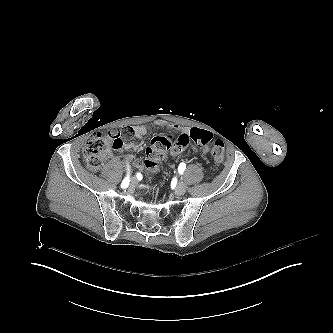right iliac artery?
<instances>
[{
	"label": "right iliac artery",
	"mask_w": 333,
	"mask_h": 333,
	"mask_svg": "<svg viewBox=\"0 0 333 333\" xmlns=\"http://www.w3.org/2000/svg\"><path fill=\"white\" fill-rule=\"evenodd\" d=\"M128 185H129V175L123 180V182L121 183V187L127 188Z\"/></svg>",
	"instance_id": "1"
}]
</instances>
